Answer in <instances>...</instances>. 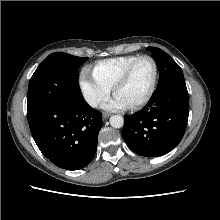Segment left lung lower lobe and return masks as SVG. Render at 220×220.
<instances>
[{"mask_svg": "<svg viewBox=\"0 0 220 220\" xmlns=\"http://www.w3.org/2000/svg\"><path fill=\"white\" fill-rule=\"evenodd\" d=\"M188 115L187 87L185 81H177L155 90L141 111L125 115L122 136L135 153L162 156L180 143Z\"/></svg>", "mask_w": 220, "mask_h": 220, "instance_id": "left-lung-lower-lobe-1", "label": "left lung lower lobe"}]
</instances>
